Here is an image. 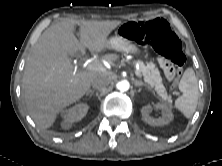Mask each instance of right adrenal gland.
<instances>
[{
	"mask_svg": "<svg viewBox=\"0 0 222 166\" xmlns=\"http://www.w3.org/2000/svg\"><path fill=\"white\" fill-rule=\"evenodd\" d=\"M91 93H94V90L89 89V90L87 91L86 95H89V94H91Z\"/></svg>",
	"mask_w": 222,
	"mask_h": 166,
	"instance_id": "obj_1",
	"label": "right adrenal gland"
}]
</instances>
